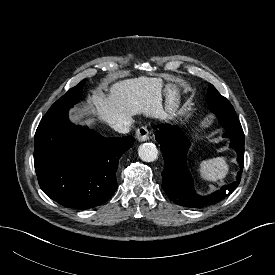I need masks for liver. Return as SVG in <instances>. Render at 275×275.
<instances>
[{"mask_svg": "<svg viewBox=\"0 0 275 275\" xmlns=\"http://www.w3.org/2000/svg\"><path fill=\"white\" fill-rule=\"evenodd\" d=\"M163 85L159 78L141 76L116 82L109 88V95L94 94L92 103L100 120L112 126L134 115L165 119L169 117L163 108ZM80 115H71L73 122H80ZM89 124L92 119L87 121Z\"/></svg>", "mask_w": 275, "mask_h": 275, "instance_id": "6515ba94", "label": "liver"}]
</instances>
